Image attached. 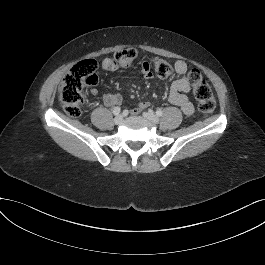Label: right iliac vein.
Here are the masks:
<instances>
[{
	"label": "right iliac vein",
	"mask_w": 265,
	"mask_h": 265,
	"mask_svg": "<svg viewBox=\"0 0 265 265\" xmlns=\"http://www.w3.org/2000/svg\"><path fill=\"white\" fill-rule=\"evenodd\" d=\"M122 121H123V117H122V115H118V116H116V117L114 118V123H115L116 125L120 124Z\"/></svg>",
	"instance_id": "63e3f726"
}]
</instances>
